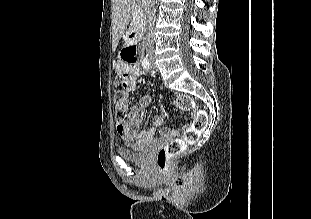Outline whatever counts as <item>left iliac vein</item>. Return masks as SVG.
I'll return each mask as SVG.
<instances>
[{"instance_id": "4c4485c4", "label": "left iliac vein", "mask_w": 311, "mask_h": 219, "mask_svg": "<svg viewBox=\"0 0 311 219\" xmlns=\"http://www.w3.org/2000/svg\"><path fill=\"white\" fill-rule=\"evenodd\" d=\"M151 67H152V68H156V64H155V62H154V59H153V58L151 59Z\"/></svg>"}]
</instances>
